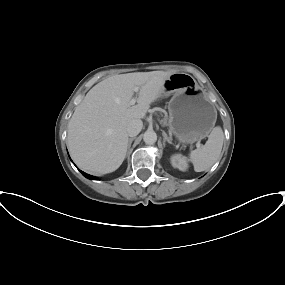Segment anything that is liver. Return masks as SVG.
<instances>
[{"label":"liver","mask_w":285,"mask_h":285,"mask_svg":"<svg viewBox=\"0 0 285 285\" xmlns=\"http://www.w3.org/2000/svg\"><path fill=\"white\" fill-rule=\"evenodd\" d=\"M176 71L134 72L110 76L96 84L76 107L68 124V147L77 166L92 174L117 170L128 147L127 125L146 116ZM137 104L130 105L134 87Z\"/></svg>","instance_id":"liver-1"}]
</instances>
